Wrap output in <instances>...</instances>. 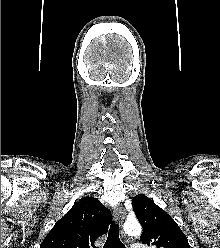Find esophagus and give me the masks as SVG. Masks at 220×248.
Wrapping results in <instances>:
<instances>
[{"label":"esophagus","mask_w":220,"mask_h":248,"mask_svg":"<svg viewBox=\"0 0 220 248\" xmlns=\"http://www.w3.org/2000/svg\"><path fill=\"white\" fill-rule=\"evenodd\" d=\"M113 215H114V218L116 220V222L122 226V223H123V220L125 218V210L123 207H121L120 205H117L114 207V210H113Z\"/></svg>","instance_id":"1"}]
</instances>
